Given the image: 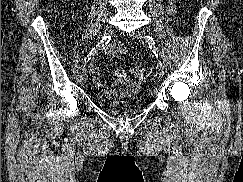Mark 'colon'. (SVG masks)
<instances>
[{
    "mask_svg": "<svg viewBox=\"0 0 243 182\" xmlns=\"http://www.w3.org/2000/svg\"><path fill=\"white\" fill-rule=\"evenodd\" d=\"M131 73L134 78L139 79V80L144 79L146 76L145 69L140 66H136V67L132 68Z\"/></svg>",
    "mask_w": 243,
    "mask_h": 182,
    "instance_id": "colon-1",
    "label": "colon"
}]
</instances>
